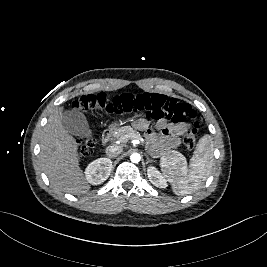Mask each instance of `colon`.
Segmentation results:
<instances>
[{
    "mask_svg": "<svg viewBox=\"0 0 267 267\" xmlns=\"http://www.w3.org/2000/svg\"><path fill=\"white\" fill-rule=\"evenodd\" d=\"M75 106L86 111L100 109L109 114L134 115L154 120L168 119L174 123L191 120L184 136V144L189 150L195 147L199 126L197 113L191 105L175 98L159 93H143L122 94L110 99L100 93L82 96L75 102ZM93 147L94 140L91 137L78 142V152L81 156H87Z\"/></svg>",
    "mask_w": 267,
    "mask_h": 267,
    "instance_id": "1",
    "label": "colon"
}]
</instances>
